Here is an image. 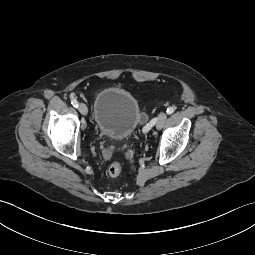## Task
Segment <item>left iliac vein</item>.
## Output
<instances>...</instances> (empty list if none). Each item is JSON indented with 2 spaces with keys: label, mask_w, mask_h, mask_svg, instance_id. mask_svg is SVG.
Masks as SVG:
<instances>
[{
  "label": "left iliac vein",
  "mask_w": 255,
  "mask_h": 255,
  "mask_svg": "<svg viewBox=\"0 0 255 255\" xmlns=\"http://www.w3.org/2000/svg\"><path fill=\"white\" fill-rule=\"evenodd\" d=\"M166 119V113L160 112L158 116L155 118L156 120V128L159 130L163 127L164 121Z\"/></svg>",
  "instance_id": "obj_1"
}]
</instances>
